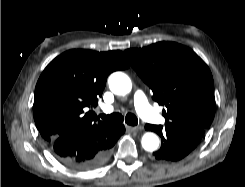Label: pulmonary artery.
<instances>
[{
  "label": "pulmonary artery",
  "mask_w": 245,
  "mask_h": 187,
  "mask_svg": "<svg viewBox=\"0 0 245 187\" xmlns=\"http://www.w3.org/2000/svg\"><path fill=\"white\" fill-rule=\"evenodd\" d=\"M134 106L138 114L145 120L161 124L165 122V118L158 114L149 104L145 94L137 90L133 96ZM103 111L105 113H111L113 108L110 106L104 107Z\"/></svg>",
  "instance_id": "obj_1"
}]
</instances>
